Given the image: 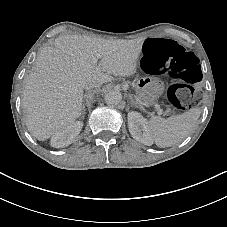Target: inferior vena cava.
<instances>
[{
	"mask_svg": "<svg viewBox=\"0 0 227 227\" xmlns=\"http://www.w3.org/2000/svg\"><path fill=\"white\" fill-rule=\"evenodd\" d=\"M101 84L97 83V84H93V83H87L86 84V89H91V88H94V87H100Z\"/></svg>",
	"mask_w": 227,
	"mask_h": 227,
	"instance_id": "obj_1",
	"label": "inferior vena cava"
}]
</instances>
